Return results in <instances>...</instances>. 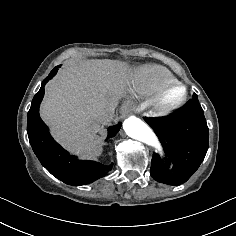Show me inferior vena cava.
<instances>
[{
	"instance_id": "obj_1",
	"label": "inferior vena cava",
	"mask_w": 236,
	"mask_h": 236,
	"mask_svg": "<svg viewBox=\"0 0 236 236\" xmlns=\"http://www.w3.org/2000/svg\"><path fill=\"white\" fill-rule=\"evenodd\" d=\"M103 122H110L113 119L114 112L104 111L101 113Z\"/></svg>"
}]
</instances>
